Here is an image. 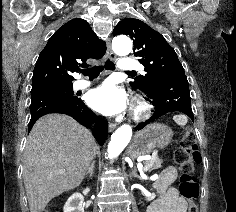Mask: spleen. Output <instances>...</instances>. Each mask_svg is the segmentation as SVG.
Listing matches in <instances>:
<instances>
[{
	"label": "spleen",
	"mask_w": 236,
	"mask_h": 212,
	"mask_svg": "<svg viewBox=\"0 0 236 212\" xmlns=\"http://www.w3.org/2000/svg\"><path fill=\"white\" fill-rule=\"evenodd\" d=\"M173 120L179 125V126H184L187 124L188 119L186 115L179 114V115H174Z\"/></svg>",
	"instance_id": "1"
}]
</instances>
